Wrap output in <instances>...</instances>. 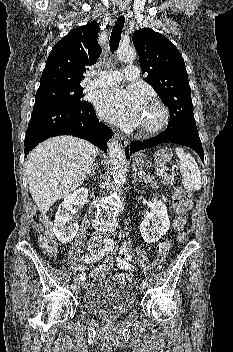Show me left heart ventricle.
<instances>
[{
	"instance_id": "obj_1",
	"label": "left heart ventricle",
	"mask_w": 233,
	"mask_h": 352,
	"mask_svg": "<svg viewBox=\"0 0 233 352\" xmlns=\"http://www.w3.org/2000/svg\"><path fill=\"white\" fill-rule=\"evenodd\" d=\"M157 119V109L154 106L146 103L140 117L139 125H150L154 123Z\"/></svg>"
}]
</instances>
